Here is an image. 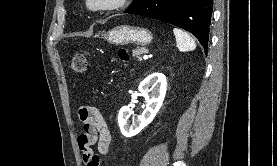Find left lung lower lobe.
Masks as SVG:
<instances>
[{
    "instance_id": "obj_1",
    "label": "left lung lower lobe",
    "mask_w": 277,
    "mask_h": 166,
    "mask_svg": "<svg viewBox=\"0 0 277 166\" xmlns=\"http://www.w3.org/2000/svg\"><path fill=\"white\" fill-rule=\"evenodd\" d=\"M213 0H145L129 14L160 20L197 37L207 53Z\"/></svg>"
}]
</instances>
